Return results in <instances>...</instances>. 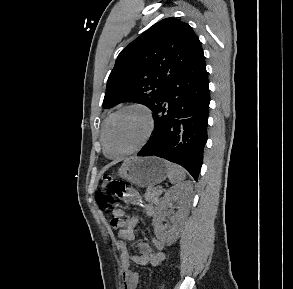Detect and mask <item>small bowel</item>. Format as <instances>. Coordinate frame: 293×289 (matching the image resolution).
<instances>
[{
  "label": "small bowel",
  "instance_id": "c3829d8e",
  "mask_svg": "<svg viewBox=\"0 0 293 289\" xmlns=\"http://www.w3.org/2000/svg\"><path fill=\"white\" fill-rule=\"evenodd\" d=\"M126 201L140 207L149 217H153L155 215L154 206L143 203L137 192H129L126 196ZM113 219H120L124 221L123 224L118 227L120 230L116 239V247L121 254L124 289H136L139 282V275L132 269V264L161 267L166 259V255L163 251L164 244L155 237L149 242H137L136 247L138 253L131 254L129 252L127 242H131L135 238V229L138 224V219L136 217H126L123 209L114 210Z\"/></svg>",
  "mask_w": 293,
  "mask_h": 289
}]
</instances>
